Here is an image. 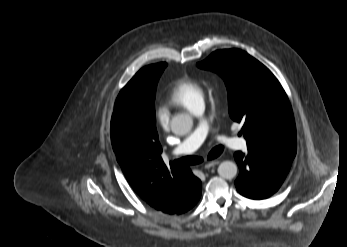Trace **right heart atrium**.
Returning a JSON list of instances; mask_svg holds the SVG:
<instances>
[{
	"label": "right heart atrium",
	"instance_id": "d8ad5b80",
	"mask_svg": "<svg viewBox=\"0 0 347 247\" xmlns=\"http://www.w3.org/2000/svg\"><path fill=\"white\" fill-rule=\"evenodd\" d=\"M156 120L162 129L166 130L170 127V116L165 110L159 109L157 111Z\"/></svg>",
	"mask_w": 347,
	"mask_h": 247
}]
</instances>
